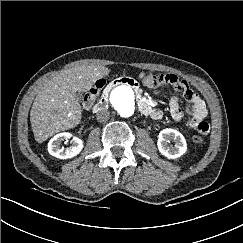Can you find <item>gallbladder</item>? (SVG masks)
Listing matches in <instances>:
<instances>
[{
	"label": "gallbladder",
	"instance_id": "bac80fb5",
	"mask_svg": "<svg viewBox=\"0 0 243 243\" xmlns=\"http://www.w3.org/2000/svg\"><path fill=\"white\" fill-rule=\"evenodd\" d=\"M79 98H80V95L78 94V95H77V99H79Z\"/></svg>",
	"mask_w": 243,
	"mask_h": 243
}]
</instances>
